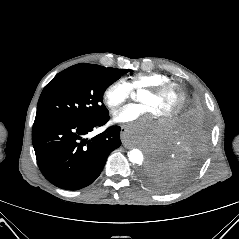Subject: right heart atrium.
I'll return each instance as SVG.
<instances>
[{"instance_id": "1", "label": "right heart atrium", "mask_w": 239, "mask_h": 239, "mask_svg": "<svg viewBox=\"0 0 239 239\" xmlns=\"http://www.w3.org/2000/svg\"><path fill=\"white\" fill-rule=\"evenodd\" d=\"M131 93L128 83L118 79L105 88L103 102L111 111H116L130 98Z\"/></svg>"}]
</instances>
